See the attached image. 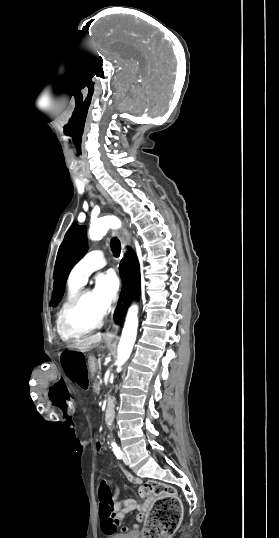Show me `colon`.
Here are the masks:
<instances>
[{
	"label": "colon",
	"instance_id": "colon-1",
	"mask_svg": "<svg viewBox=\"0 0 279 538\" xmlns=\"http://www.w3.org/2000/svg\"><path fill=\"white\" fill-rule=\"evenodd\" d=\"M98 449L101 444L98 443ZM144 492L155 496L147 522L144 526V538H169L178 528L182 518V504L176 490L169 485L150 481L144 486ZM98 496L100 516H114V504L110 488L104 478H99Z\"/></svg>",
	"mask_w": 279,
	"mask_h": 538
}]
</instances>
